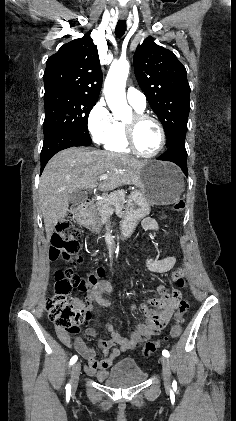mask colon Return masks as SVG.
Wrapping results in <instances>:
<instances>
[{
  "instance_id": "colon-1",
  "label": "colon",
  "mask_w": 236,
  "mask_h": 421,
  "mask_svg": "<svg viewBox=\"0 0 236 421\" xmlns=\"http://www.w3.org/2000/svg\"><path fill=\"white\" fill-rule=\"evenodd\" d=\"M185 208V202L178 201L174 204V210L182 211ZM52 245L50 248V258L56 260L59 257L71 261L72 264L79 263L82 258L73 259L79 252V231L70 219H65L58 223L52 236ZM107 277L104 268L98 267L86 275L78 274L73 266L58 270L55 273V285L53 294L46 301V310L50 320L56 328L68 335H77L86 328L90 322V310L85 305H79L68 300V296L74 291L90 292L102 285ZM177 284L180 288L187 285L184 277H179ZM177 311L174 317V326L171 331V337L180 335L184 324V316L189 309V302L175 295ZM75 346L81 354H86L87 349L80 341H76ZM162 346L161 341H151L145 344L143 354L150 356L159 350Z\"/></svg>"
}]
</instances>
